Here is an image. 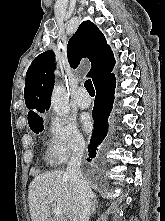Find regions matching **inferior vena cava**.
I'll list each match as a JSON object with an SVG mask.
<instances>
[{
  "instance_id": "obj_1",
  "label": "inferior vena cava",
  "mask_w": 165,
  "mask_h": 221,
  "mask_svg": "<svg viewBox=\"0 0 165 221\" xmlns=\"http://www.w3.org/2000/svg\"><path fill=\"white\" fill-rule=\"evenodd\" d=\"M86 149L83 140L78 141L68 163L66 174L69 176L74 191V206L72 221H89L93 193L82 176L80 166Z\"/></svg>"
}]
</instances>
